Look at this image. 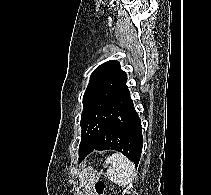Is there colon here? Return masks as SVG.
Returning <instances> with one entry per match:
<instances>
[{
  "instance_id": "1",
  "label": "colon",
  "mask_w": 211,
  "mask_h": 195,
  "mask_svg": "<svg viewBox=\"0 0 211 195\" xmlns=\"http://www.w3.org/2000/svg\"><path fill=\"white\" fill-rule=\"evenodd\" d=\"M93 189L97 195H103L106 190L105 183L103 181H96L93 185Z\"/></svg>"
}]
</instances>
